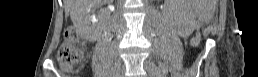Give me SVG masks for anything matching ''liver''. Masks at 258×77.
Instances as JSON below:
<instances>
[{
	"label": "liver",
	"instance_id": "6515ba94",
	"mask_svg": "<svg viewBox=\"0 0 258 77\" xmlns=\"http://www.w3.org/2000/svg\"><path fill=\"white\" fill-rule=\"evenodd\" d=\"M101 0H64L65 11H71V19L75 21V13L78 12V8L85 7L90 4L100 3ZM74 9V10H73Z\"/></svg>",
	"mask_w": 258,
	"mask_h": 77
}]
</instances>
